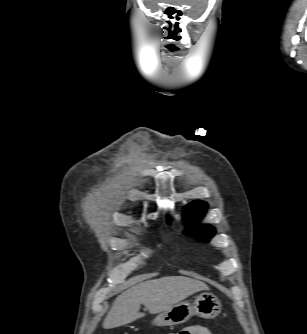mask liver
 <instances>
[{"instance_id": "obj_1", "label": "liver", "mask_w": 307, "mask_h": 334, "mask_svg": "<svg viewBox=\"0 0 307 334\" xmlns=\"http://www.w3.org/2000/svg\"><path fill=\"white\" fill-rule=\"evenodd\" d=\"M202 290H209V287L184 276H167L139 283L115 299L103 327L112 329L142 318L145 314L139 312L141 304L151 314H157Z\"/></svg>"}]
</instances>
